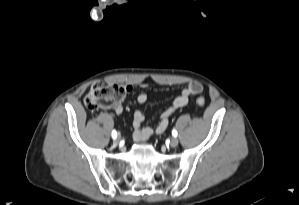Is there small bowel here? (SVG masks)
Masks as SVG:
<instances>
[{"instance_id":"c3829d8e","label":"small bowel","mask_w":299,"mask_h":205,"mask_svg":"<svg viewBox=\"0 0 299 205\" xmlns=\"http://www.w3.org/2000/svg\"><path fill=\"white\" fill-rule=\"evenodd\" d=\"M127 92L132 91L131 86H126ZM202 91V85L199 82H190L180 94L173 99L171 104L161 113L159 117L158 124L153 129L151 127H143L145 122V115L140 110H135L133 114V138L137 142H143L148 140L154 133L162 134L166 131L169 125L170 117L175 113L179 108L185 107L192 97L197 96ZM148 100V95L141 93L137 96V104H144ZM113 110L117 114L123 112V107L121 104L115 105Z\"/></svg>"}]
</instances>
